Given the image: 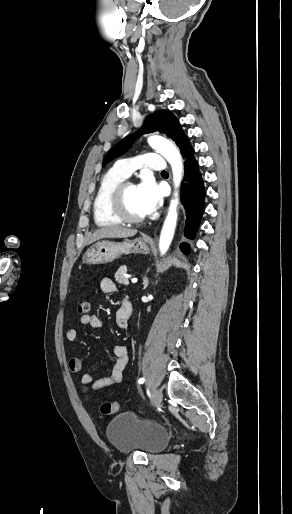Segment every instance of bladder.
I'll return each instance as SVG.
<instances>
[{"mask_svg":"<svg viewBox=\"0 0 292 514\" xmlns=\"http://www.w3.org/2000/svg\"><path fill=\"white\" fill-rule=\"evenodd\" d=\"M109 443L122 453L141 452L154 454L169 441L167 430L155 423L139 418L131 412L114 417L105 428Z\"/></svg>","mask_w":292,"mask_h":514,"instance_id":"obj_1","label":"bladder"}]
</instances>
